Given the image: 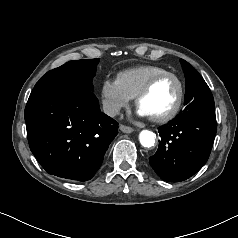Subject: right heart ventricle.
Returning a JSON list of instances; mask_svg holds the SVG:
<instances>
[{
  "mask_svg": "<svg viewBox=\"0 0 238 238\" xmlns=\"http://www.w3.org/2000/svg\"><path fill=\"white\" fill-rule=\"evenodd\" d=\"M167 71L156 65H141L121 71L117 75V81L122 90L134 98L144 84L154 75Z\"/></svg>",
  "mask_w": 238,
  "mask_h": 238,
  "instance_id": "1",
  "label": "right heart ventricle"
}]
</instances>
